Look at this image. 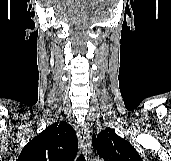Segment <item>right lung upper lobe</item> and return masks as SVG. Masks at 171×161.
Returning <instances> with one entry per match:
<instances>
[{
	"label": "right lung upper lobe",
	"instance_id": "obj_1",
	"mask_svg": "<svg viewBox=\"0 0 171 161\" xmlns=\"http://www.w3.org/2000/svg\"><path fill=\"white\" fill-rule=\"evenodd\" d=\"M77 145L76 133L69 124L54 123L22 149L17 161H73Z\"/></svg>",
	"mask_w": 171,
	"mask_h": 161
}]
</instances>
